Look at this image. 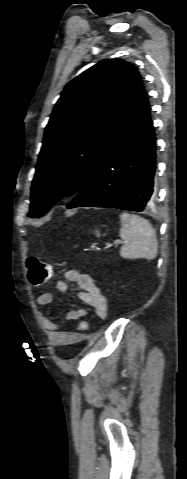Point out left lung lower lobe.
<instances>
[{"instance_id":"obj_1","label":"left lung lower lobe","mask_w":187,"mask_h":479,"mask_svg":"<svg viewBox=\"0 0 187 479\" xmlns=\"http://www.w3.org/2000/svg\"><path fill=\"white\" fill-rule=\"evenodd\" d=\"M156 137L143 84L112 148L67 208L143 211L155 195Z\"/></svg>"}]
</instances>
